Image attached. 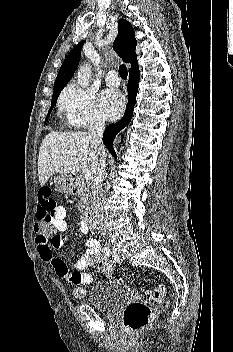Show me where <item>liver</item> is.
Masks as SVG:
<instances>
[{
  "mask_svg": "<svg viewBox=\"0 0 233 352\" xmlns=\"http://www.w3.org/2000/svg\"><path fill=\"white\" fill-rule=\"evenodd\" d=\"M105 149L89 139L85 132H50L42 141L38 157V176L44 185L55 173L75 175L94 173Z\"/></svg>",
  "mask_w": 233,
  "mask_h": 352,
  "instance_id": "1",
  "label": "liver"
}]
</instances>
